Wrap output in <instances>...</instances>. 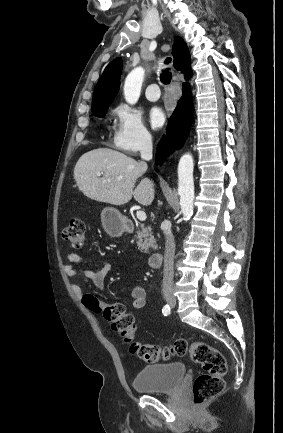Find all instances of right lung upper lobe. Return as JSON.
I'll return each instance as SVG.
<instances>
[{
  "label": "right lung upper lobe",
  "mask_w": 283,
  "mask_h": 433,
  "mask_svg": "<svg viewBox=\"0 0 283 433\" xmlns=\"http://www.w3.org/2000/svg\"><path fill=\"white\" fill-rule=\"evenodd\" d=\"M172 55L174 67L185 73V77L191 75V61L188 47L184 40L177 36L174 40ZM122 59L116 58L108 64L99 82L96 85L92 101V111L109 106L119 90Z\"/></svg>",
  "instance_id": "1"
}]
</instances>
